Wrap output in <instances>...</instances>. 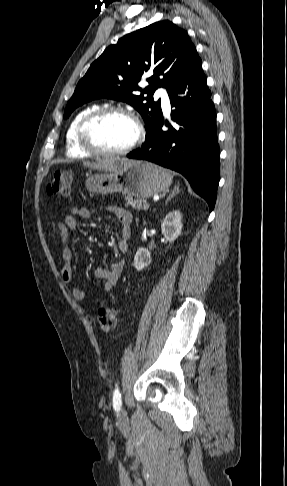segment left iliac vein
I'll list each match as a JSON object with an SVG mask.
<instances>
[{"mask_svg": "<svg viewBox=\"0 0 287 486\" xmlns=\"http://www.w3.org/2000/svg\"><path fill=\"white\" fill-rule=\"evenodd\" d=\"M125 415V410L122 409L120 412H119V416L123 417Z\"/></svg>", "mask_w": 287, "mask_h": 486, "instance_id": "4c4485c4", "label": "left iliac vein"}]
</instances>
